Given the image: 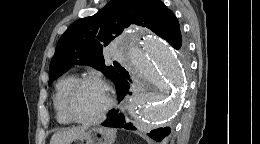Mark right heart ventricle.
<instances>
[{
    "mask_svg": "<svg viewBox=\"0 0 260 144\" xmlns=\"http://www.w3.org/2000/svg\"><path fill=\"white\" fill-rule=\"evenodd\" d=\"M76 79L77 77L75 75H67L60 78L55 86V92L53 95V108L55 111L56 120L61 125H68L71 123L64 112L63 101L66 92L76 81Z\"/></svg>",
    "mask_w": 260,
    "mask_h": 144,
    "instance_id": "1",
    "label": "right heart ventricle"
}]
</instances>
